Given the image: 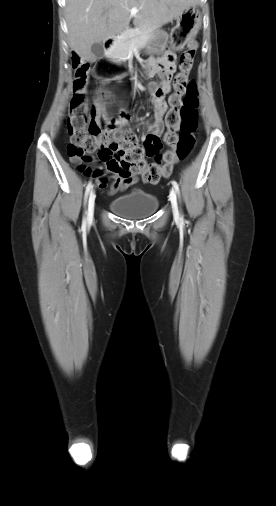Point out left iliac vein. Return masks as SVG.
Wrapping results in <instances>:
<instances>
[{
  "label": "left iliac vein",
  "instance_id": "left-iliac-vein-1",
  "mask_svg": "<svg viewBox=\"0 0 276 506\" xmlns=\"http://www.w3.org/2000/svg\"><path fill=\"white\" fill-rule=\"evenodd\" d=\"M170 201L173 209V214L175 217H177L179 215V211H178L177 197L174 189H171L170 191Z\"/></svg>",
  "mask_w": 276,
  "mask_h": 506
}]
</instances>
